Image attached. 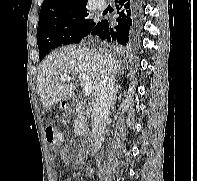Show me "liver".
I'll use <instances>...</instances> for the list:
<instances>
[{"label":"liver","instance_id":"liver-1","mask_svg":"<svg viewBox=\"0 0 197 181\" xmlns=\"http://www.w3.org/2000/svg\"><path fill=\"white\" fill-rule=\"evenodd\" d=\"M121 68V64L105 49L68 46L42 61L38 70L36 91L43 107L48 108L65 100L76 89L74 83H59V76L87 74L92 80L91 92L95 95L102 73L109 71L115 75Z\"/></svg>","mask_w":197,"mask_h":181}]
</instances>
